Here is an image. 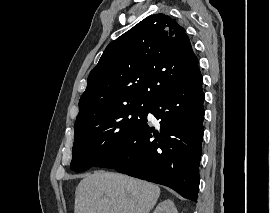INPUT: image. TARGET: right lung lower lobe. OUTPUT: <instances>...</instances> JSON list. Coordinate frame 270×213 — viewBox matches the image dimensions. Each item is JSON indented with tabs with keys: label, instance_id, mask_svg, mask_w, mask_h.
I'll use <instances>...</instances> for the list:
<instances>
[{
	"label": "right lung lower lobe",
	"instance_id": "1",
	"mask_svg": "<svg viewBox=\"0 0 270 213\" xmlns=\"http://www.w3.org/2000/svg\"><path fill=\"white\" fill-rule=\"evenodd\" d=\"M204 93L198 66L181 83L161 95L150 113L160 119L146 123L96 167L168 186L197 200L203 139Z\"/></svg>",
	"mask_w": 270,
	"mask_h": 213
}]
</instances>
